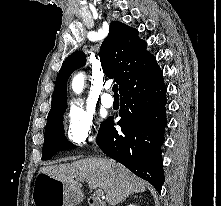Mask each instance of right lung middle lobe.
Masks as SVG:
<instances>
[{
	"label": "right lung middle lobe",
	"mask_w": 221,
	"mask_h": 206,
	"mask_svg": "<svg viewBox=\"0 0 221 206\" xmlns=\"http://www.w3.org/2000/svg\"><path fill=\"white\" fill-rule=\"evenodd\" d=\"M65 110L66 107H60L48 114L42 160H47L58 151L76 147L67 141L64 135L63 113Z\"/></svg>",
	"instance_id": "1"
}]
</instances>
